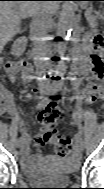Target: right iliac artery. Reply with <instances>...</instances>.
Masks as SVG:
<instances>
[{"label":"right iliac artery","instance_id":"82829eb1","mask_svg":"<svg viewBox=\"0 0 104 189\" xmlns=\"http://www.w3.org/2000/svg\"><path fill=\"white\" fill-rule=\"evenodd\" d=\"M56 91H57V89L52 88L50 94H51V95H54V94L56 93ZM48 101H49V99H48L47 97L43 98V99L38 103V105H37L36 108H37V109H42V108H44V107L46 106V104L48 103ZM19 140H20V141H23V140H24V136H21V137L19 138Z\"/></svg>","mask_w":104,"mask_h":189}]
</instances>
